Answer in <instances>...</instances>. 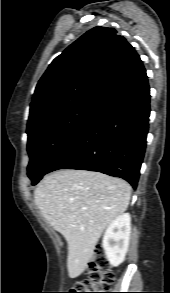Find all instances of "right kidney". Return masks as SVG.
<instances>
[{
    "instance_id": "1",
    "label": "right kidney",
    "mask_w": 170,
    "mask_h": 293,
    "mask_svg": "<svg viewBox=\"0 0 170 293\" xmlns=\"http://www.w3.org/2000/svg\"><path fill=\"white\" fill-rule=\"evenodd\" d=\"M130 233L131 217L129 213L121 214L107 227L102 246L106 258L112 266H118L124 261L129 246Z\"/></svg>"
}]
</instances>
